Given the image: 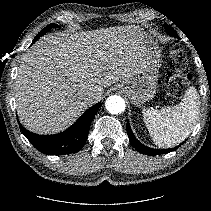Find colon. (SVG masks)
Segmentation results:
<instances>
[{
	"label": "colon",
	"mask_w": 211,
	"mask_h": 211,
	"mask_svg": "<svg viewBox=\"0 0 211 211\" xmlns=\"http://www.w3.org/2000/svg\"><path fill=\"white\" fill-rule=\"evenodd\" d=\"M168 73L165 76V84L174 97H180L186 91L190 74L185 71L186 56L184 51L177 45L170 48L167 57Z\"/></svg>",
	"instance_id": "colon-1"
}]
</instances>
